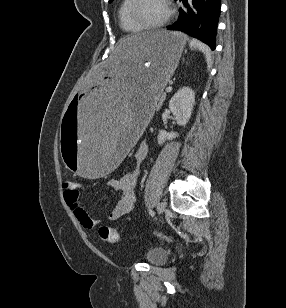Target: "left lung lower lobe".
Instances as JSON below:
<instances>
[{"label": "left lung lower lobe", "mask_w": 286, "mask_h": 308, "mask_svg": "<svg viewBox=\"0 0 286 308\" xmlns=\"http://www.w3.org/2000/svg\"><path fill=\"white\" fill-rule=\"evenodd\" d=\"M183 3L187 10L180 8L178 20L167 29L185 32L215 50L221 0H192L193 10L188 7L187 0H183Z\"/></svg>", "instance_id": "1"}]
</instances>
